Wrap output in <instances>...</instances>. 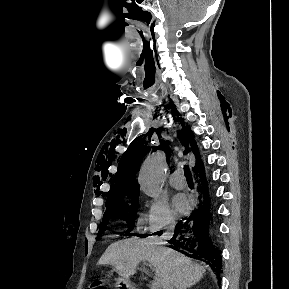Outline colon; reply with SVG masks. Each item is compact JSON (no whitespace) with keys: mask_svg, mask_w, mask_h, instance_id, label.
<instances>
[{"mask_svg":"<svg viewBox=\"0 0 289 289\" xmlns=\"http://www.w3.org/2000/svg\"><path fill=\"white\" fill-rule=\"evenodd\" d=\"M89 289H109V287L102 280H95L90 284Z\"/></svg>","mask_w":289,"mask_h":289,"instance_id":"5ec220e1","label":"colon"}]
</instances>
